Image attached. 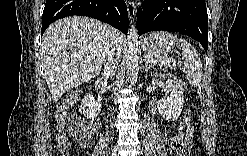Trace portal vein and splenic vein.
Masks as SVG:
<instances>
[{
  "mask_svg": "<svg viewBox=\"0 0 247 156\" xmlns=\"http://www.w3.org/2000/svg\"><path fill=\"white\" fill-rule=\"evenodd\" d=\"M170 63H172V66L175 67L176 61L173 60V59L163 60V61L161 62V64H168V65H169Z\"/></svg>",
  "mask_w": 247,
  "mask_h": 156,
  "instance_id": "18ae733b",
  "label": "portal vein and splenic vein"
}]
</instances>
